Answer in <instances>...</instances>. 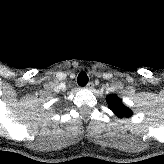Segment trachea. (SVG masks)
Masks as SVG:
<instances>
[{
    "instance_id": "1",
    "label": "trachea",
    "mask_w": 164,
    "mask_h": 164,
    "mask_svg": "<svg viewBox=\"0 0 164 164\" xmlns=\"http://www.w3.org/2000/svg\"><path fill=\"white\" fill-rule=\"evenodd\" d=\"M89 81V78L85 72H80L77 78V82L79 86L84 87Z\"/></svg>"
}]
</instances>
